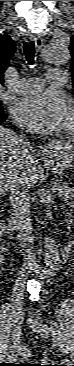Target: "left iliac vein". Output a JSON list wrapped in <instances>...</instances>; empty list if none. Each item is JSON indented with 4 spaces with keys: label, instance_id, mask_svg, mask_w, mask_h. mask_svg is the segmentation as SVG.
Segmentation results:
<instances>
[{
    "label": "left iliac vein",
    "instance_id": "4c4485c4",
    "mask_svg": "<svg viewBox=\"0 0 74 366\" xmlns=\"http://www.w3.org/2000/svg\"><path fill=\"white\" fill-rule=\"evenodd\" d=\"M30 328L36 332V333H39L40 335L42 336H48L49 334H54V330L52 327L48 326V325H45V324H42V323H39L37 321H34L32 322V324H30ZM57 341H59V339L57 338ZM60 341H59V346H60ZM63 354L67 353V346L66 344L64 343L63 347H60ZM69 361V360H67Z\"/></svg>",
    "mask_w": 74,
    "mask_h": 366
}]
</instances>
